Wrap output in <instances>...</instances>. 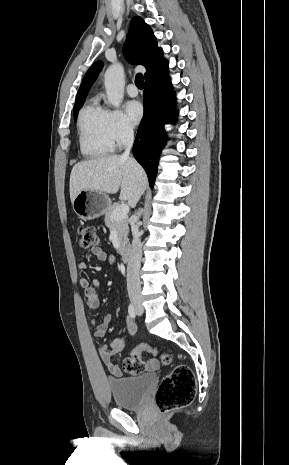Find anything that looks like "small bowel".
<instances>
[{
  "instance_id": "1",
  "label": "small bowel",
  "mask_w": 289,
  "mask_h": 465,
  "mask_svg": "<svg viewBox=\"0 0 289 465\" xmlns=\"http://www.w3.org/2000/svg\"><path fill=\"white\" fill-rule=\"evenodd\" d=\"M91 254L98 260L102 262H109L111 264H115L116 259L113 255L108 254L102 248L96 247L91 249ZM79 269L86 270L87 264L84 261H80L78 264ZM79 284L84 290V295L86 299V305L90 309H97L100 305V299L98 295L97 288L101 285L98 279L89 280L86 277H80ZM113 321L112 315H106L102 318L100 322L93 321L96 325V330L94 332V336L97 338L104 337L108 331L110 324ZM126 333L125 336L118 338L110 343L109 346L103 345L100 348L101 358L107 367L108 371L116 377L122 376L123 372L122 369L113 362L112 357L119 353L125 343L127 336L131 335L136 330V324L131 319H126ZM146 369L149 371L156 370L159 367V361L157 359H151L146 363Z\"/></svg>"
}]
</instances>
